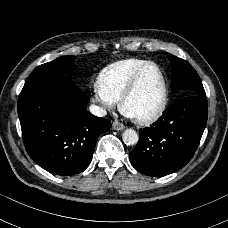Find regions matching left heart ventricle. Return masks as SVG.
<instances>
[{"label": "left heart ventricle", "instance_id": "b2bd125f", "mask_svg": "<svg viewBox=\"0 0 228 228\" xmlns=\"http://www.w3.org/2000/svg\"><path fill=\"white\" fill-rule=\"evenodd\" d=\"M163 102V82L159 71L150 68L143 75L135 94L128 100L127 112L136 118L154 114Z\"/></svg>", "mask_w": 228, "mask_h": 228}]
</instances>
